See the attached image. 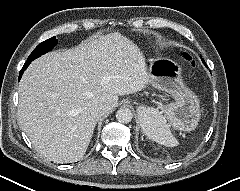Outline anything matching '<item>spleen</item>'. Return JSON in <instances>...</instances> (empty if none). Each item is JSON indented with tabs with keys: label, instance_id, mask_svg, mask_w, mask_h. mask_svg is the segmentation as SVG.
Here are the masks:
<instances>
[{
	"label": "spleen",
	"instance_id": "spleen-1",
	"mask_svg": "<svg viewBox=\"0 0 240 191\" xmlns=\"http://www.w3.org/2000/svg\"><path fill=\"white\" fill-rule=\"evenodd\" d=\"M140 125L148 138L161 145L175 147L179 144L171 133L165 116L156 109L149 108L148 111L141 115Z\"/></svg>",
	"mask_w": 240,
	"mask_h": 191
}]
</instances>
